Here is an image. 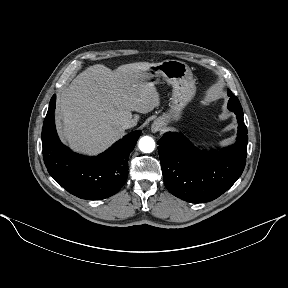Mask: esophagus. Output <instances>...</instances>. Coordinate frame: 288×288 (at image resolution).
I'll return each mask as SVG.
<instances>
[{"label": "esophagus", "mask_w": 288, "mask_h": 288, "mask_svg": "<svg viewBox=\"0 0 288 288\" xmlns=\"http://www.w3.org/2000/svg\"><path fill=\"white\" fill-rule=\"evenodd\" d=\"M161 123H159V122H154L153 124H152V126H151V130L153 131V132H157V131H159L160 129H161Z\"/></svg>", "instance_id": "esophagus-1"}]
</instances>
